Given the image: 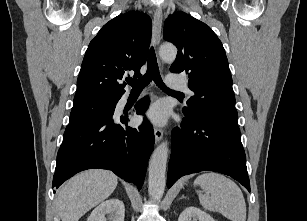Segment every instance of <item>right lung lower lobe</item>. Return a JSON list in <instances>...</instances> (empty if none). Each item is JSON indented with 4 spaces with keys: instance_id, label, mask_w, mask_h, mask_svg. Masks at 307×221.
I'll list each match as a JSON object with an SVG mask.
<instances>
[{
    "instance_id": "98d812e1",
    "label": "right lung lower lobe",
    "mask_w": 307,
    "mask_h": 221,
    "mask_svg": "<svg viewBox=\"0 0 307 221\" xmlns=\"http://www.w3.org/2000/svg\"><path fill=\"white\" fill-rule=\"evenodd\" d=\"M148 104L147 97L141 99L135 105L137 114H143ZM128 117L113 112L108 117L65 130L57 154L53 187L58 188L80 171L102 168L137 184L140 189L154 149V132L147 120L137 128L128 126Z\"/></svg>"
}]
</instances>
